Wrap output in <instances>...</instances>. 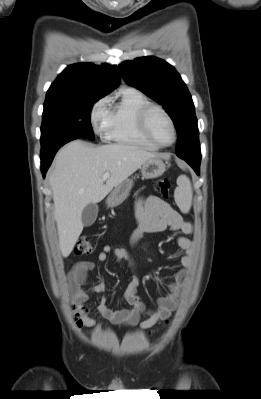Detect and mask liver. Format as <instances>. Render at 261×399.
I'll return each mask as SVG.
<instances>
[{
    "label": "liver",
    "mask_w": 261,
    "mask_h": 399,
    "mask_svg": "<svg viewBox=\"0 0 261 399\" xmlns=\"http://www.w3.org/2000/svg\"><path fill=\"white\" fill-rule=\"evenodd\" d=\"M157 157L138 146L109 144L88 146L76 140L56 155L49 174L59 246L63 257L72 252L83 230V209L103 200L110 191L147 160ZM109 172L106 183L102 176Z\"/></svg>",
    "instance_id": "6515ba94"
}]
</instances>
